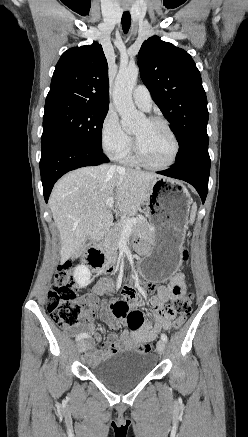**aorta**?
I'll return each instance as SVG.
<instances>
[{"label":"aorta","mask_w":248,"mask_h":437,"mask_svg":"<svg viewBox=\"0 0 248 437\" xmlns=\"http://www.w3.org/2000/svg\"><path fill=\"white\" fill-rule=\"evenodd\" d=\"M139 69L136 66L122 69L118 72L113 91V103L124 127H134L143 118L136 110L132 100V90L136 84Z\"/></svg>","instance_id":"1"}]
</instances>
